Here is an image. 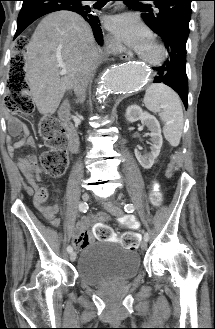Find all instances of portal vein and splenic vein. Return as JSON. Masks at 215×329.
<instances>
[{
  "mask_svg": "<svg viewBox=\"0 0 215 329\" xmlns=\"http://www.w3.org/2000/svg\"><path fill=\"white\" fill-rule=\"evenodd\" d=\"M61 67H62V70H61L60 74L61 75L66 74L67 73V70H66L65 66L64 65H61Z\"/></svg>",
  "mask_w": 215,
  "mask_h": 329,
  "instance_id": "portal-vein-and-splenic-vein-1",
  "label": "portal vein and splenic vein"
}]
</instances>
